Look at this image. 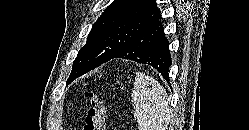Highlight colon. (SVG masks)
I'll return each instance as SVG.
<instances>
[{"label": "colon", "mask_w": 249, "mask_h": 130, "mask_svg": "<svg viewBox=\"0 0 249 130\" xmlns=\"http://www.w3.org/2000/svg\"><path fill=\"white\" fill-rule=\"evenodd\" d=\"M85 97L89 100L83 130H103L105 115V99L96 91L85 92Z\"/></svg>", "instance_id": "obj_1"}]
</instances>
